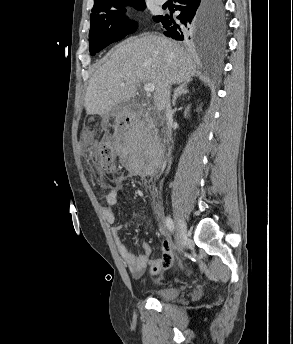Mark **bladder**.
<instances>
[{"mask_svg":"<svg viewBox=\"0 0 293 344\" xmlns=\"http://www.w3.org/2000/svg\"><path fill=\"white\" fill-rule=\"evenodd\" d=\"M156 295L159 299L164 301H171L176 299L180 292L178 289L170 288V287H163L152 292Z\"/></svg>","mask_w":293,"mask_h":344,"instance_id":"1","label":"bladder"}]
</instances>
